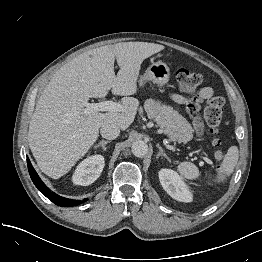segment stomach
I'll list each match as a JSON object with an SVG mask.
<instances>
[{"label": "stomach", "instance_id": "stomach-1", "mask_svg": "<svg viewBox=\"0 0 262 262\" xmlns=\"http://www.w3.org/2000/svg\"><path fill=\"white\" fill-rule=\"evenodd\" d=\"M170 78V69L162 61H157L150 65L145 73L140 77L139 84L144 86L148 82L158 84L160 86L165 85Z\"/></svg>", "mask_w": 262, "mask_h": 262}]
</instances>
